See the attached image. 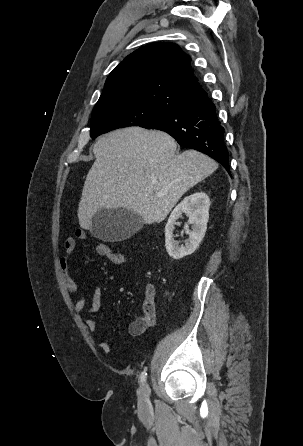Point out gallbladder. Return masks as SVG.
Wrapping results in <instances>:
<instances>
[{"mask_svg":"<svg viewBox=\"0 0 303 446\" xmlns=\"http://www.w3.org/2000/svg\"><path fill=\"white\" fill-rule=\"evenodd\" d=\"M91 233L104 241H121L140 230L141 217L126 209H100L91 220Z\"/></svg>","mask_w":303,"mask_h":446,"instance_id":"gallbladder-1","label":"gallbladder"}]
</instances>
